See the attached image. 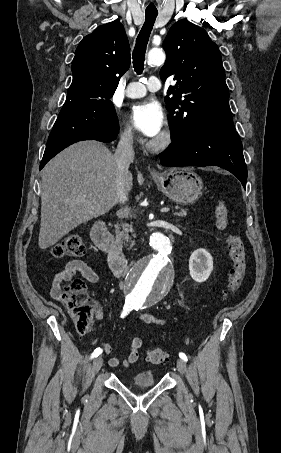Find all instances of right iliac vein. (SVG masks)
Returning <instances> with one entry per match:
<instances>
[{"instance_id": "right-iliac-vein-1", "label": "right iliac vein", "mask_w": 281, "mask_h": 453, "mask_svg": "<svg viewBox=\"0 0 281 453\" xmlns=\"http://www.w3.org/2000/svg\"><path fill=\"white\" fill-rule=\"evenodd\" d=\"M103 359L102 358H95L93 360V365L91 367L92 373L95 375L97 372H99L100 368L103 366Z\"/></svg>"}]
</instances>
